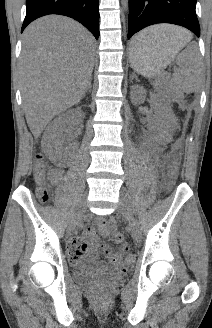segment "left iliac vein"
Instances as JSON below:
<instances>
[{"mask_svg": "<svg viewBox=\"0 0 212 328\" xmlns=\"http://www.w3.org/2000/svg\"><path fill=\"white\" fill-rule=\"evenodd\" d=\"M117 210L127 220L133 237L138 240L141 236L139 223L134 217L131 208L123 196L120 197Z\"/></svg>", "mask_w": 212, "mask_h": 328, "instance_id": "1", "label": "left iliac vein"}]
</instances>
